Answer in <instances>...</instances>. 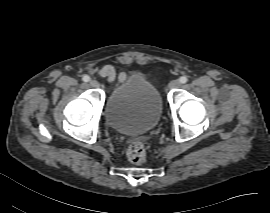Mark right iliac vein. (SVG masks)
I'll list each match as a JSON object with an SVG mask.
<instances>
[{
	"label": "right iliac vein",
	"mask_w": 270,
	"mask_h": 213,
	"mask_svg": "<svg viewBox=\"0 0 270 213\" xmlns=\"http://www.w3.org/2000/svg\"><path fill=\"white\" fill-rule=\"evenodd\" d=\"M90 86L96 88V87L99 86V83L96 80H91L90 81Z\"/></svg>",
	"instance_id": "1"
}]
</instances>
